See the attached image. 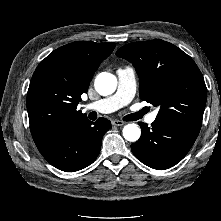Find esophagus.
<instances>
[{"instance_id":"esophagus-1","label":"esophagus","mask_w":221,"mask_h":221,"mask_svg":"<svg viewBox=\"0 0 221 221\" xmlns=\"http://www.w3.org/2000/svg\"><path fill=\"white\" fill-rule=\"evenodd\" d=\"M112 125L113 126H123V125H125V122H123L121 120H113Z\"/></svg>"}]
</instances>
